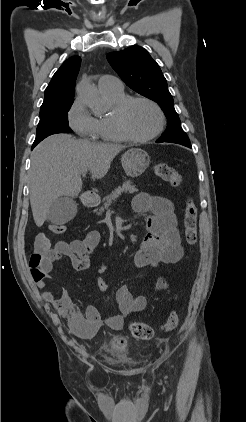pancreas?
<instances>
[{"label": "pancreas", "mask_w": 246, "mask_h": 422, "mask_svg": "<svg viewBox=\"0 0 246 422\" xmlns=\"http://www.w3.org/2000/svg\"><path fill=\"white\" fill-rule=\"evenodd\" d=\"M138 189L135 187V185H133V183L128 180L125 181L122 186H118L117 188H115L110 195L104 197L103 199V203L102 205L99 207V213L104 212L105 209H107L111 203L117 199L122 193H135L137 192Z\"/></svg>", "instance_id": "cf45deb5"}]
</instances>
